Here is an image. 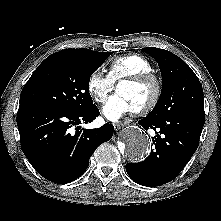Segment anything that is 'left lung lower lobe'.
<instances>
[{"label":"left lung lower lobe","mask_w":221,"mask_h":221,"mask_svg":"<svg viewBox=\"0 0 221 221\" xmlns=\"http://www.w3.org/2000/svg\"><path fill=\"white\" fill-rule=\"evenodd\" d=\"M145 130L153 129L155 149L139 163H127L126 171L143 186H159L172 181L196 151L205 118L177 113L162 118L145 117L138 122Z\"/></svg>","instance_id":"obj_1"}]
</instances>
